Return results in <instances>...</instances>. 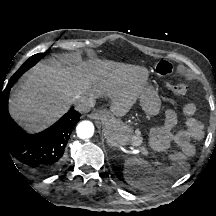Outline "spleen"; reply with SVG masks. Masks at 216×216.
Instances as JSON below:
<instances>
[{
  "instance_id": "spleen-1",
  "label": "spleen",
  "mask_w": 216,
  "mask_h": 216,
  "mask_svg": "<svg viewBox=\"0 0 216 216\" xmlns=\"http://www.w3.org/2000/svg\"><path fill=\"white\" fill-rule=\"evenodd\" d=\"M123 165L125 181L143 190H149L156 184L164 182L163 175L174 171V165L155 169L149 162L133 157L126 158Z\"/></svg>"
}]
</instances>
